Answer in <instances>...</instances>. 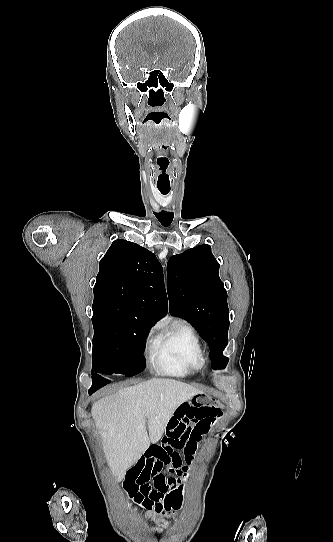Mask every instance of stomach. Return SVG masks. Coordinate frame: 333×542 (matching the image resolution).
<instances>
[{"instance_id":"1","label":"stomach","mask_w":333,"mask_h":542,"mask_svg":"<svg viewBox=\"0 0 333 542\" xmlns=\"http://www.w3.org/2000/svg\"><path fill=\"white\" fill-rule=\"evenodd\" d=\"M187 400H202L203 404H208V402H211V396H208V394H198L195 397H188Z\"/></svg>"}]
</instances>
